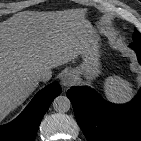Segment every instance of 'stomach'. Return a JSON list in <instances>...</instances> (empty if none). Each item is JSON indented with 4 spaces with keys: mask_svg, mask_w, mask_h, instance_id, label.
<instances>
[{
    "mask_svg": "<svg viewBox=\"0 0 141 141\" xmlns=\"http://www.w3.org/2000/svg\"><path fill=\"white\" fill-rule=\"evenodd\" d=\"M80 55L83 62L76 69V73L78 76H83L86 82L90 83L101 74L99 43L94 31L82 38Z\"/></svg>",
    "mask_w": 141,
    "mask_h": 141,
    "instance_id": "stomach-1",
    "label": "stomach"
}]
</instances>
